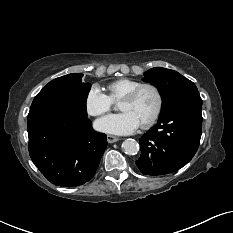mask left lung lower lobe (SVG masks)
Instances as JSON below:
<instances>
[{
    "mask_svg": "<svg viewBox=\"0 0 233 233\" xmlns=\"http://www.w3.org/2000/svg\"><path fill=\"white\" fill-rule=\"evenodd\" d=\"M202 104L180 106L161 114L158 123L140 139L136 165L143 174L175 172L195 155L202 126Z\"/></svg>",
    "mask_w": 233,
    "mask_h": 233,
    "instance_id": "obj_1",
    "label": "left lung lower lobe"
}]
</instances>
